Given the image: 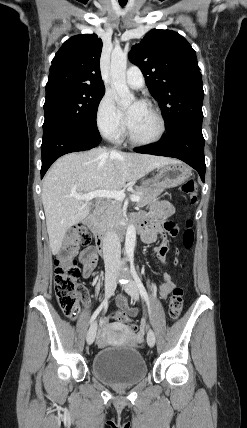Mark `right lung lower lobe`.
I'll list each match as a JSON object with an SVG mask.
<instances>
[{
  "mask_svg": "<svg viewBox=\"0 0 247 428\" xmlns=\"http://www.w3.org/2000/svg\"><path fill=\"white\" fill-rule=\"evenodd\" d=\"M100 141L101 136L97 129H86L65 123L44 127L41 146V178H43L51 164L60 156L70 152L92 149Z\"/></svg>",
  "mask_w": 247,
  "mask_h": 428,
  "instance_id": "1",
  "label": "right lung lower lobe"
}]
</instances>
